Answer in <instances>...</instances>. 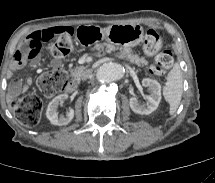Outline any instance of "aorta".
I'll return each mask as SVG.
<instances>
[{
	"label": "aorta",
	"mask_w": 215,
	"mask_h": 183,
	"mask_svg": "<svg viewBox=\"0 0 215 183\" xmlns=\"http://www.w3.org/2000/svg\"><path fill=\"white\" fill-rule=\"evenodd\" d=\"M125 69L122 65L114 62L102 64L96 71V78L102 83H111L124 76Z\"/></svg>",
	"instance_id": "obj_1"
}]
</instances>
